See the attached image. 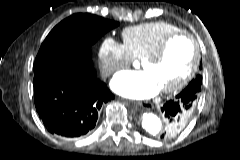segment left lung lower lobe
<instances>
[{
  "label": "left lung lower lobe",
  "mask_w": 240,
  "mask_h": 160,
  "mask_svg": "<svg viewBox=\"0 0 240 160\" xmlns=\"http://www.w3.org/2000/svg\"><path fill=\"white\" fill-rule=\"evenodd\" d=\"M198 94L195 92V85L187 86L179 93L174 100H170L164 104L161 111L164 113L170 130H175L186 125L182 122V115L189 111H194Z\"/></svg>",
  "instance_id": "obj_1"
}]
</instances>
